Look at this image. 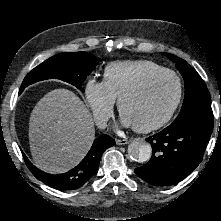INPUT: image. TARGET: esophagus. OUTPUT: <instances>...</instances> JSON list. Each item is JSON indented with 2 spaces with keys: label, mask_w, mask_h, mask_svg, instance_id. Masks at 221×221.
Returning <instances> with one entry per match:
<instances>
[{
  "label": "esophagus",
  "mask_w": 221,
  "mask_h": 221,
  "mask_svg": "<svg viewBox=\"0 0 221 221\" xmlns=\"http://www.w3.org/2000/svg\"><path fill=\"white\" fill-rule=\"evenodd\" d=\"M131 140L129 139H116V144L117 145H125L128 144Z\"/></svg>",
  "instance_id": "1"
}]
</instances>
